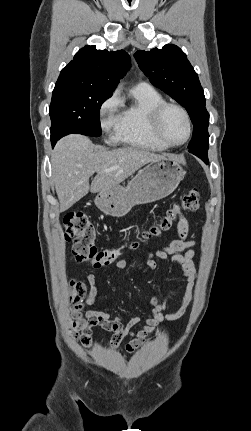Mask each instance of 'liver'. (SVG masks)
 Masks as SVG:
<instances>
[{
	"label": "liver",
	"mask_w": 251,
	"mask_h": 431,
	"mask_svg": "<svg viewBox=\"0 0 251 431\" xmlns=\"http://www.w3.org/2000/svg\"><path fill=\"white\" fill-rule=\"evenodd\" d=\"M147 150L126 147L106 150L83 135L71 134L60 139L51 155L52 179L64 212L91 193L119 185L139 168L164 158ZM105 169H111L104 172ZM97 173L91 186L89 178Z\"/></svg>",
	"instance_id": "obj_1"
}]
</instances>
